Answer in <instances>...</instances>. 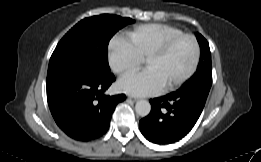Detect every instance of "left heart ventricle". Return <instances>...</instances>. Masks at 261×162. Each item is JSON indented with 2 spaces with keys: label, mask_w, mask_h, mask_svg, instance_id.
Masks as SVG:
<instances>
[{
  "label": "left heart ventricle",
  "mask_w": 261,
  "mask_h": 162,
  "mask_svg": "<svg viewBox=\"0 0 261 162\" xmlns=\"http://www.w3.org/2000/svg\"><path fill=\"white\" fill-rule=\"evenodd\" d=\"M194 53L193 42L189 38H183L163 56L147 61L146 68L154 70L163 86H167L180 79L190 69Z\"/></svg>",
  "instance_id": "left-heart-ventricle-1"
}]
</instances>
